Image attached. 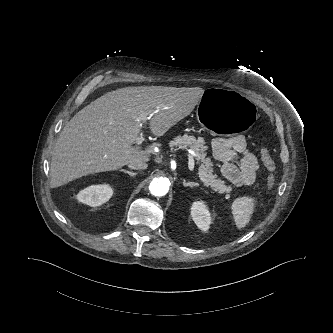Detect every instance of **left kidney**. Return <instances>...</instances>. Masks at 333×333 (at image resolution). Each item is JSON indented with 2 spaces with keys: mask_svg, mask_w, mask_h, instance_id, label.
Segmentation results:
<instances>
[{
  "mask_svg": "<svg viewBox=\"0 0 333 333\" xmlns=\"http://www.w3.org/2000/svg\"><path fill=\"white\" fill-rule=\"evenodd\" d=\"M191 217L200 230L208 231L211 224V216L203 202L197 201L192 204Z\"/></svg>",
  "mask_w": 333,
  "mask_h": 333,
  "instance_id": "left-kidney-1",
  "label": "left kidney"
}]
</instances>
